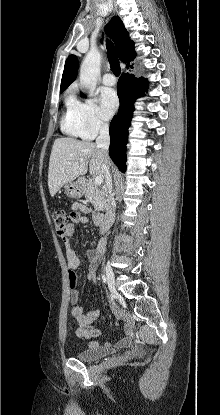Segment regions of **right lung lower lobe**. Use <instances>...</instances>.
Segmentation results:
<instances>
[{
    "label": "right lung lower lobe",
    "instance_id": "obj_1",
    "mask_svg": "<svg viewBox=\"0 0 220 415\" xmlns=\"http://www.w3.org/2000/svg\"><path fill=\"white\" fill-rule=\"evenodd\" d=\"M147 79L135 78L129 73L121 75L117 84V93L120 101L118 115L110 123L109 155L119 170H126V144L128 128L131 124L135 100L147 90Z\"/></svg>",
    "mask_w": 220,
    "mask_h": 415
}]
</instances>
